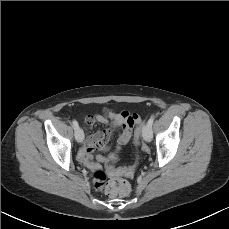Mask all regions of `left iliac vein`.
I'll return each mask as SVG.
<instances>
[{
    "label": "left iliac vein",
    "instance_id": "left-iliac-vein-1",
    "mask_svg": "<svg viewBox=\"0 0 229 229\" xmlns=\"http://www.w3.org/2000/svg\"><path fill=\"white\" fill-rule=\"evenodd\" d=\"M143 138L146 142L152 140V128L148 123L143 127Z\"/></svg>",
    "mask_w": 229,
    "mask_h": 229
}]
</instances>
